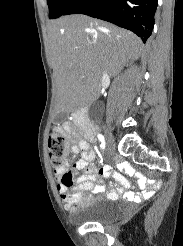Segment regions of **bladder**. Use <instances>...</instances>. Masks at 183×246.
<instances>
[{
    "label": "bladder",
    "mask_w": 183,
    "mask_h": 246,
    "mask_svg": "<svg viewBox=\"0 0 183 246\" xmlns=\"http://www.w3.org/2000/svg\"><path fill=\"white\" fill-rule=\"evenodd\" d=\"M122 212L121 206L111 200L95 199L79 220L92 223H107L116 219Z\"/></svg>",
    "instance_id": "bladder-1"
}]
</instances>
